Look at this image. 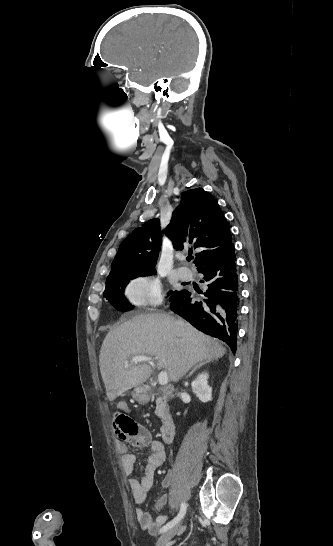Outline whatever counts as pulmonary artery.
Returning a JSON list of instances; mask_svg holds the SVG:
<instances>
[{"mask_svg": "<svg viewBox=\"0 0 333 546\" xmlns=\"http://www.w3.org/2000/svg\"><path fill=\"white\" fill-rule=\"evenodd\" d=\"M177 274L181 280H190L193 277V272L188 267H179Z\"/></svg>", "mask_w": 333, "mask_h": 546, "instance_id": "e3ab8cb5", "label": "pulmonary artery"}]
</instances>
